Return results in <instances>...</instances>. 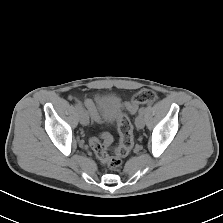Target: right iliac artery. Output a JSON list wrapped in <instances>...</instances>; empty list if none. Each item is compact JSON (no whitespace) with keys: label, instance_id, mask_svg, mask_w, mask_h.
Masks as SVG:
<instances>
[{"label":"right iliac artery","instance_id":"right-iliac-artery-1","mask_svg":"<svg viewBox=\"0 0 223 223\" xmlns=\"http://www.w3.org/2000/svg\"><path fill=\"white\" fill-rule=\"evenodd\" d=\"M76 109H78V111H80L82 109L81 105L79 103L75 104Z\"/></svg>","mask_w":223,"mask_h":223}]
</instances>
